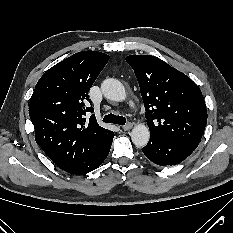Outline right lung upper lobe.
Returning <instances> with one entry per match:
<instances>
[{"label": "right lung upper lobe", "instance_id": "right-lung-upper-lobe-1", "mask_svg": "<svg viewBox=\"0 0 233 233\" xmlns=\"http://www.w3.org/2000/svg\"><path fill=\"white\" fill-rule=\"evenodd\" d=\"M109 60L96 51L78 52L47 70L35 86L29 116L35 140L60 169L89 160L114 137L99 126L88 92Z\"/></svg>", "mask_w": 233, "mask_h": 233}]
</instances>
